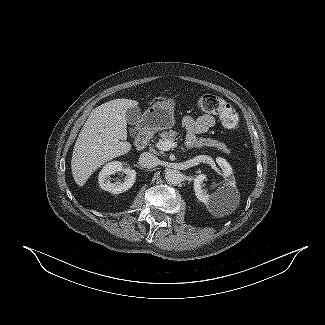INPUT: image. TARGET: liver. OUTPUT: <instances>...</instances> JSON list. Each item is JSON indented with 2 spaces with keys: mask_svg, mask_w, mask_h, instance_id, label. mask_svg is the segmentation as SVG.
Returning <instances> with one entry per match:
<instances>
[{
  "mask_svg": "<svg viewBox=\"0 0 325 325\" xmlns=\"http://www.w3.org/2000/svg\"><path fill=\"white\" fill-rule=\"evenodd\" d=\"M138 105L131 99H114L92 110L76 140L72 175L83 186L92 173L105 162L128 153L127 110Z\"/></svg>",
  "mask_w": 325,
  "mask_h": 325,
  "instance_id": "1",
  "label": "liver"
}]
</instances>
